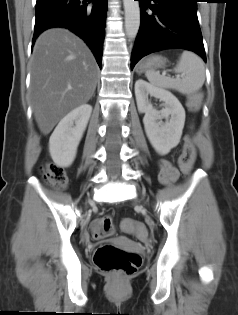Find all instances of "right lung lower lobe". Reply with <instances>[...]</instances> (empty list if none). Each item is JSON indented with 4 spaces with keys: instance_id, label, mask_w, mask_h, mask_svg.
Listing matches in <instances>:
<instances>
[{
    "instance_id": "1",
    "label": "right lung lower lobe",
    "mask_w": 238,
    "mask_h": 315,
    "mask_svg": "<svg viewBox=\"0 0 238 315\" xmlns=\"http://www.w3.org/2000/svg\"><path fill=\"white\" fill-rule=\"evenodd\" d=\"M106 11L107 0H37L32 46L44 30L65 27L85 41L101 68Z\"/></svg>"
}]
</instances>
